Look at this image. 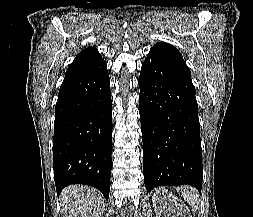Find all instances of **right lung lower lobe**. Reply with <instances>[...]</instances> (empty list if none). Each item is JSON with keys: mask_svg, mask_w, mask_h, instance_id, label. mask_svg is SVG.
I'll return each mask as SVG.
<instances>
[{"mask_svg": "<svg viewBox=\"0 0 253 217\" xmlns=\"http://www.w3.org/2000/svg\"><path fill=\"white\" fill-rule=\"evenodd\" d=\"M112 152L110 78L105 61L65 76L55 107L53 168L57 192L86 184L109 198Z\"/></svg>", "mask_w": 253, "mask_h": 217, "instance_id": "1", "label": "right lung lower lobe"}]
</instances>
